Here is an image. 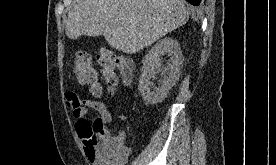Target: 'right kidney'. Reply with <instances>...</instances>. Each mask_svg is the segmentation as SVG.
I'll return each instance as SVG.
<instances>
[{
  "label": "right kidney",
  "mask_w": 276,
  "mask_h": 165,
  "mask_svg": "<svg viewBox=\"0 0 276 165\" xmlns=\"http://www.w3.org/2000/svg\"><path fill=\"white\" fill-rule=\"evenodd\" d=\"M167 54L170 57L167 65H162L161 56ZM142 75L139 79V91L148 104L154 105L162 102L169 90L179 79L180 70L183 64V55L178 42L170 37L158 41L154 47L145 55L142 61ZM159 71L162 78L158 87L151 91L155 77V71ZM167 74V76H166Z\"/></svg>",
  "instance_id": "1"
}]
</instances>
